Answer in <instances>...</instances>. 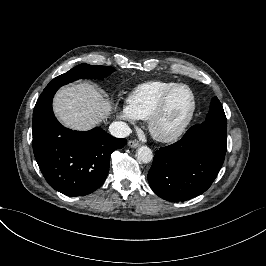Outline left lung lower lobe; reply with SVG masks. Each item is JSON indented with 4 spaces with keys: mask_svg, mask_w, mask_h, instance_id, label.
<instances>
[{
    "mask_svg": "<svg viewBox=\"0 0 266 266\" xmlns=\"http://www.w3.org/2000/svg\"><path fill=\"white\" fill-rule=\"evenodd\" d=\"M227 131L194 125L178 142L156 151L148 172L151 189L178 202L204 193L224 162Z\"/></svg>",
    "mask_w": 266,
    "mask_h": 266,
    "instance_id": "1",
    "label": "left lung lower lobe"
}]
</instances>
